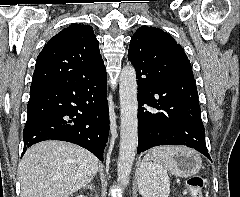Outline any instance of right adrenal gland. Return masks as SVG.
I'll use <instances>...</instances> for the list:
<instances>
[{
    "instance_id": "2a0ac1e0",
    "label": "right adrenal gland",
    "mask_w": 240,
    "mask_h": 197,
    "mask_svg": "<svg viewBox=\"0 0 240 197\" xmlns=\"http://www.w3.org/2000/svg\"><path fill=\"white\" fill-rule=\"evenodd\" d=\"M87 188H89L91 191L95 192L93 183H90L89 185L84 187V189H87ZM96 197H98V196L96 195Z\"/></svg>"
}]
</instances>
